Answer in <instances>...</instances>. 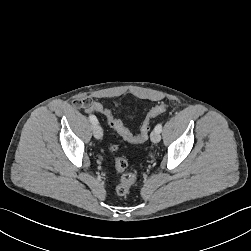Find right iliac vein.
Here are the masks:
<instances>
[{
	"mask_svg": "<svg viewBox=\"0 0 251 251\" xmlns=\"http://www.w3.org/2000/svg\"><path fill=\"white\" fill-rule=\"evenodd\" d=\"M93 134L96 139H101L103 136V131L100 125L94 124L93 125Z\"/></svg>",
	"mask_w": 251,
	"mask_h": 251,
	"instance_id": "obj_1",
	"label": "right iliac vein"
}]
</instances>
